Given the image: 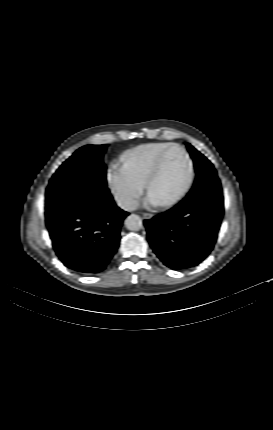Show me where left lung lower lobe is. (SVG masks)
Segmentation results:
<instances>
[{
  "instance_id": "1",
  "label": "left lung lower lobe",
  "mask_w": 273,
  "mask_h": 430,
  "mask_svg": "<svg viewBox=\"0 0 273 430\" xmlns=\"http://www.w3.org/2000/svg\"><path fill=\"white\" fill-rule=\"evenodd\" d=\"M223 213L220 180L207 177L174 208L144 221L148 241L169 268H191L212 251Z\"/></svg>"
}]
</instances>
